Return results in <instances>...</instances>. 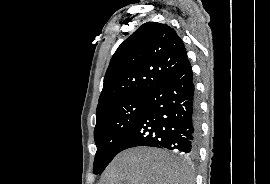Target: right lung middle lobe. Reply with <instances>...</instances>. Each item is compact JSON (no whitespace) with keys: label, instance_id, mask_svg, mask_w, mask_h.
Listing matches in <instances>:
<instances>
[{"label":"right lung middle lobe","instance_id":"1","mask_svg":"<svg viewBox=\"0 0 270 184\" xmlns=\"http://www.w3.org/2000/svg\"><path fill=\"white\" fill-rule=\"evenodd\" d=\"M147 96H133L103 108L97 117L94 139L97 152L93 172L100 174L112 161L125 138L143 114Z\"/></svg>","mask_w":270,"mask_h":184}]
</instances>
